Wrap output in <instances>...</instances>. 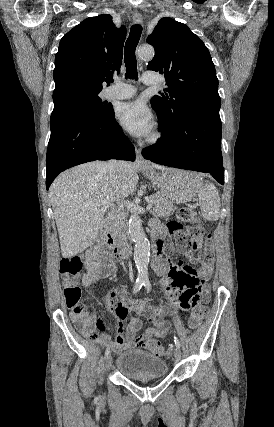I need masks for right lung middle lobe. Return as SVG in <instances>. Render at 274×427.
Masks as SVG:
<instances>
[{
	"mask_svg": "<svg viewBox=\"0 0 274 427\" xmlns=\"http://www.w3.org/2000/svg\"><path fill=\"white\" fill-rule=\"evenodd\" d=\"M105 104L106 102H102L101 98L98 97V93L68 95L54 104V110L50 119L51 129L56 122L74 115L88 114L91 117L107 115L113 109L110 104Z\"/></svg>",
	"mask_w": 274,
	"mask_h": 427,
	"instance_id": "1",
	"label": "right lung middle lobe"
}]
</instances>
